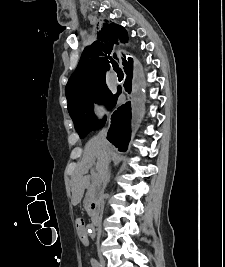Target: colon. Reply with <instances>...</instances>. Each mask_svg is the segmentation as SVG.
Masks as SVG:
<instances>
[{"label":"colon","mask_w":225,"mask_h":267,"mask_svg":"<svg viewBox=\"0 0 225 267\" xmlns=\"http://www.w3.org/2000/svg\"><path fill=\"white\" fill-rule=\"evenodd\" d=\"M75 227L78 232V235H84L85 234V222L82 218H77L75 221Z\"/></svg>","instance_id":"1"}]
</instances>
